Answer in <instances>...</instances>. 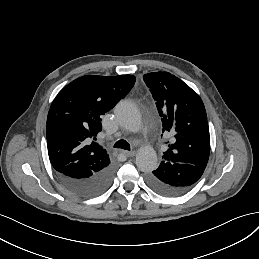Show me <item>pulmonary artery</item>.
I'll return each mask as SVG.
<instances>
[{
	"instance_id": "e3ab8cb5",
	"label": "pulmonary artery",
	"mask_w": 259,
	"mask_h": 259,
	"mask_svg": "<svg viewBox=\"0 0 259 259\" xmlns=\"http://www.w3.org/2000/svg\"><path fill=\"white\" fill-rule=\"evenodd\" d=\"M123 126L130 131H139L142 127V122L140 119L127 120L124 122Z\"/></svg>"
}]
</instances>
